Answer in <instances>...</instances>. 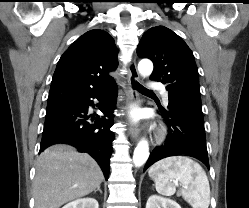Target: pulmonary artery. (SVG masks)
<instances>
[{"label":"pulmonary artery","mask_w":249,"mask_h":208,"mask_svg":"<svg viewBox=\"0 0 249 208\" xmlns=\"http://www.w3.org/2000/svg\"><path fill=\"white\" fill-rule=\"evenodd\" d=\"M149 87L158 90L162 95L164 104H168V92L166 91L164 86H162L160 83H151Z\"/></svg>","instance_id":"1"}]
</instances>
